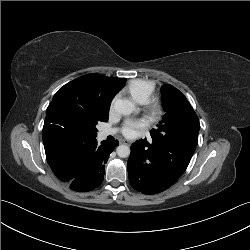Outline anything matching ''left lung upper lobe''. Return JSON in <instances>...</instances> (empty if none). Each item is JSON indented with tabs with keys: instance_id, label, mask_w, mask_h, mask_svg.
<instances>
[{
	"instance_id": "obj_1",
	"label": "left lung upper lobe",
	"mask_w": 250,
	"mask_h": 250,
	"mask_svg": "<svg viewBox=\"0 0 250 250\" xmlns=\"http://www.w3.org/2000/svg\"><path fill=\"white\" fill-rule=\"evenodd\" d=\"M163 107L165 115L151 131L152 140L162 141L171 137L199 133V120L186 97L175 87L162 86Z\"/></svg>"
}]
</instances>
